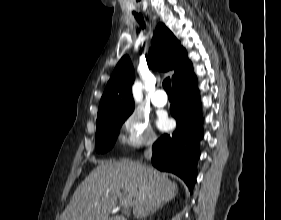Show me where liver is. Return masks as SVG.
<instances>
[{"instance_id": "6515ba94", "label": "liver", "mask_w": 281, "mask_h": 220, "mask_svg": "<svg viewBox=\"0 0 281 220\" xmlns=\"http://www.w3.org/2000/svg\"><path fill=\"white\" fill-rule=\"evenodd\" d=\"M121 191L124 200L132 201L134 217L142 219L172 200L178 188L150 166L129 160L104 162L77 187L60 220H111Z\"/></svg>"}]
</instances>
